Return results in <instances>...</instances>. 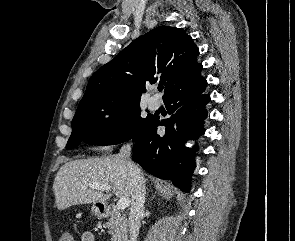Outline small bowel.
<instances>
[{"mask_svg": "<svg viewBox=\"0 0 295 241\" xmlns=\"http://www.w3.org/2000/svg\"><path fill=\"white\" fill-rule=\"evenodd\" d=\"M59 241H62L61 237H60ZM82 241H95V237L91 232H85L82 235Z\"/></svg>", "mask_w": 295, "mask_h": 241, "instance_id": "1", "label": "small bowel"}]
</instances>
